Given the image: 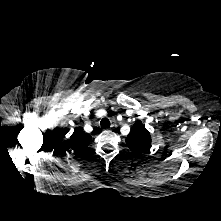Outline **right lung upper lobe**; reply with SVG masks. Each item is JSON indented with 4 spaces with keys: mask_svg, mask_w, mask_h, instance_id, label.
Segmentation results:
<instances>
[{
    "mask_svg": "<svg viewBox=\"0 0 221 221\" xmlns=\"http://www.w3.org/2000/svg\"><path fill=\"white\" fill-rule=\"evenodd\" d=\"M90 141V135L85 134L81 128H76L70 138V147H68V150H73L74 153L78 155L86 150Z\"/></svg>",
    "mask_w": 221,
    "mask_h": 221,
    "instance_id": "right-lung-upper-lobe-1",
    "label": "right lung upper lobe"
}]
</instances>
